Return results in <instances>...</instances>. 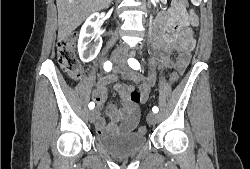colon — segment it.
Listing matches in <instances>:
<instances>
[{
  "label": "colon",
  "instance_id": "obj_1",
  "mask_svg": "<svg viewBox=\"0 0 250 169\" xmlns=\"http://www.w3.org/2000/svg\"><path fill=\"white\" fill-rule=\"evenodd\" d=\"M181 4L187 7L188 0H181ZM69 38H59L56 44L57 58L61 69L73 80L77 81L82 76V66L75 52L76 34H69ZM169 79L171 86H178V72L172 71ZM131 100H140L141 91H130ZM145 130V128H141Z\"/></svg>",
  "mask_w": 250,
  "mask_h": 169
}]
</instances>
